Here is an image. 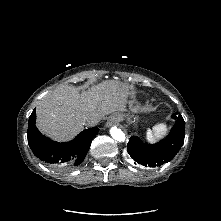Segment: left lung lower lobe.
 I'll use <instances>...</instances> for the list:
<instances>
[{"instance_id": "obj_1", "label": "left lung lower lobe", "mask_w": 221, "mask_h": 221, "mask_svg": "<svg viewBox=\"0 0 221 221\" xmlns=\"http://www.w3.org/2000/svg\"><path fill=\"white\" fill-rule=\"evenodd\" d=\"M176 120L169 135L156 144H147L133 136L127 144V152L138 164L146 167L160 166L171 161L184 143L185 122L182 115L173 114Z\"/></svg>"}]
</instances>
